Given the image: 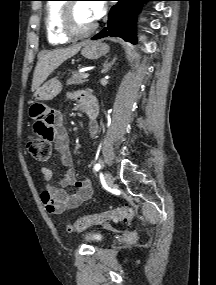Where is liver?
I'll return each instance as SVG.
<instances>
[{"label": "liver", "mask_w": 216, "mask_h": 285, "mask_svg": "<svg viewBox=\"0 0 216 285\" xmlns=\"http://www.w3.org/2000/svg\"><path fill=\"white\" fill-rule=\"evenodd\" d=\"M82 46L83 44L81 43L40 55L33 74L32 92L37 91L48 76L64 61L76 55Z\"/></svg>", "instance_id": "liver-1"}]
</instances>
